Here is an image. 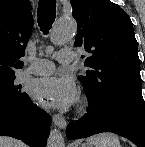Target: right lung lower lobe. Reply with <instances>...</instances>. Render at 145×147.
Instances as JSON below:
<instances>
[{
	"instance_id": "right-lung-lower-lobe-1",
	"label": "right lung lower lobe",
	"mask_w": 145,
	"mask_h": 147,
	"mask_svg": "<svg viewBox=\"0 0 145 147\" xmlns=\"http://www.w3.org/2000/svg\"><path fill=\"white\" fill-rule=\"evenodd\" d=\"M49 132V115L28 95L20 104L0 106V136H11L31 147H45Z\"/></svg>"
}]
</instances>
